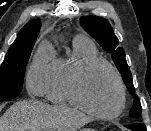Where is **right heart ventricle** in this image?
<instances>
[{"label":"right heart ventricle","mask_w":151,"mask_h":131,"mask_svg":"<svg viewBox=\"0 0 151 131\" xmlns=\"http://www.w3.org/2000/svg\"><path fill=\"white\" fill-rule=\"evenodd\" d=\"M98 57V50L90 40L83 37L75 38L72 43V54L67 58L54 59L51 62L44 91L47 99L58 104L75 105L69 95V82L84 63Z\"/></svg>","instance_id":"e07e8e85"}]
</instances>
